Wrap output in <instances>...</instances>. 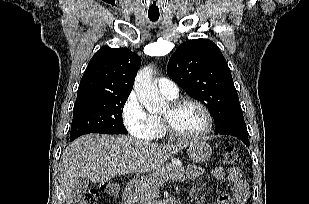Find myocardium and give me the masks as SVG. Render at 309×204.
I'll use <instances>...</instances> for the list:
<instances>
[{
	"mask_svg": "<svg viewBox=\"0 0 309 204\" xmlns=\"http://www.w3.org/2000/svg\"><path fill=\"white\" fill-rule=\"evenodd\" d=\"M187 103L195 104L203 111L205 118H206V126L204 130L198 134L185 135L175 130L171 122L170 115H162L160 117V121H161L163 130L165 134H167L173 140L196 141V140L206 137L212 131V128H213L212 114L209 108L198 99H195L192 97H185V98L172 100L168 105L170 114L175 112L177 109H179L181 106Z\"/></svg>",
	"mask_w": 309,
	"mask_h": 204,
	"instance_id": "myocardium-1",
	"label": "myocardium"
}]
</instances>
